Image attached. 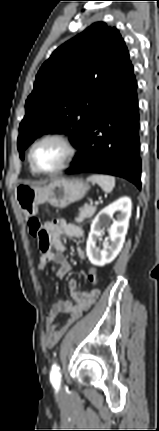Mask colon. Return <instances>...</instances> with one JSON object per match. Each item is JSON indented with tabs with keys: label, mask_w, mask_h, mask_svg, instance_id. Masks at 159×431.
<instances>
[{
	"label": "colon",
	"mask_w": 159,
	"mask_h": 431,
	"mask_svg": "<svg viewBox=\"0 0 159 431\" xmlns=\"http://www.w3.org/2000/svg\"><path fill=\"white\" fill-rule=\"evenodd\" d=\"M43 224L44 223L40 219L36 217L31 218L28 222V228H29L30 234L36 238H38L39 236H43L44 235ZM96 272H97V267L91 266L90 273H88V280H89V283L91 284L90 291H93L98 287ZM91 310L92 309L89 307L88 311L90 312ZM83 313L84 312L81 310L80 314L82 315Z\"/></svg>",
	"instance_id": "1"
}]
</instances>
